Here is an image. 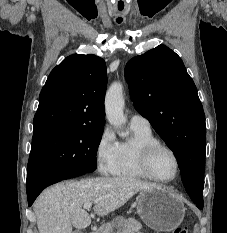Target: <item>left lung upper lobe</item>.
<instances>
[{
	"label": "left lung upper lobe",
	"instance_id": "left-lung-upper-lobe-1",
	"mask_svg": "<svg viewBox=\"0 0 227 233\" xmlns=\"http://www.w3.org/2000/svg\"><path fill=\"white\" fill-rule=\"evenodd\" d=\"M125 78L135 108L173 151L187 193L203 200L205 115L182 60L159 45L132 58Z\"/></svg>",
	"mask_w": 227,
	"mask_h": 233
}]
</instances>
